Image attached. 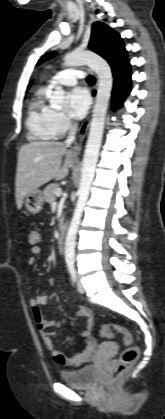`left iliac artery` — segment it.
Returning <instances> with one entry per match:
<instances>
[{
	"mask_svg": "<svg viewBox=\"0 0 165 419\" xmlns=\"http://www.w3.org/2000/svg\"><path fill=\"white\" fill-rule=\"evenodd\" d=\"M69 272L71 274V277L73 279V281H76V272H75V268L73 265H69L68 266Z\"/></svg>",
	"mask_w": 165,
	"mask_h": 419,
	"instance_id": "obj_1",
	"label": "left iliac artery"
}]
</instances>
